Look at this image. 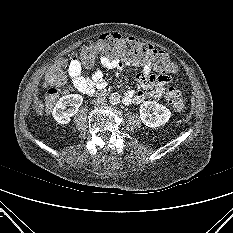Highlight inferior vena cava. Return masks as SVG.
<instances>
[{
    "label": "inferior vena cava",
    "mask_w": 233,
    "mask_h": 233,
    "mask_svg": "<svg viewBox=\"0 0 233 233\" xmlns=\"http://www.w3.org/2000/svg\"><path fill=\"white\" fill-rule=\"evenodd\" d=\"M106 99L105 98H97L96 100H95V105L96 106H100V105H104V104H106Z\"/></svg>",
    "instance_id": "602c4592"
}]
</instances>
